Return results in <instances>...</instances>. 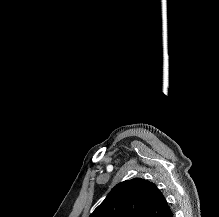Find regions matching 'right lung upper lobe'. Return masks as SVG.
<instances>
[{
    "instance_id": "right-lung-upper-lobe-1",
    "label": "right lung upper lobe",
    "mask_w": 219,
    "mask_h": 217,
    "mask_svg": "<svg viewBox=\"0 0 219 217\" xmlns=\"http://www.w3.org/2000/svg\"><path fill=\"white\" fill-rule=\"evenodd\" d=\"M162 192L141 178L117 184L89 217H170Z\"/></svg>"
}]
</instances>
